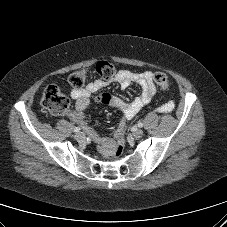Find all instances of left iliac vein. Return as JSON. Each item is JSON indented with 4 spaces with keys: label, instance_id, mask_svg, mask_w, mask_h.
I'll list each match as a JSON object with an SVG mask.
<instances>
[{
    "label": "left iliac vein",
    "instance_id": "obj_1",
    "mask_svg": "<svg viewBox=\"0 0 227 227\" xmlns=\"http://www.w3.org/2000/svg\"><path fill=\"white\" fill-rule=\"evenodd\" d=\"M133 136H134L135 138H140V137H142V136H143V130H141V129H136V130H134V131H133Z\"/></svg>",
    "mask_w": 227,
    "mask_h": 227
}]
</instances>
